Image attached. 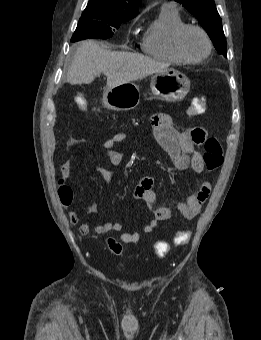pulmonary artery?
Segmentation results:
<instances>
[{"mask_svg":"<svg viewBox=\"0 0 261 340\" xmlns=\"http://www.w3.org/2000/svg\"><path fill=\"white\" fill-rule=\"evenodd\" d=\"M162 7H170L177 9V4L175 2H165L163 3Z\"/></svg>","mask_w":261,"mask_h":340,"instance_id":"e3ab8cb5","label":"pulmonary artery"}]
</instances>
